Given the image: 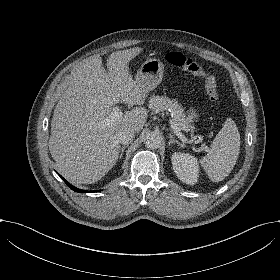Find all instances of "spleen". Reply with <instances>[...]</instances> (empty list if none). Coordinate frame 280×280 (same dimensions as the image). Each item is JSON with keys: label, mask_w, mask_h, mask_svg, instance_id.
I'll use <instances>...</instances> for the list:
<instances>
[{"label": "spleen", "mask_w": 280, "mask_h": 280, "mask_svg": "<svg viewBox=\"0 0 280 280\" xmlns=\"http://www.w3.org/2000/svg\"><path fill=\"white\" fill-rule=\"evenodd\" d=\"M239 152L240 134L235 122L228 118L200 164L213 182H220L232 171Z\"/></svg>", "instance_id": "1"}]
</instances>
